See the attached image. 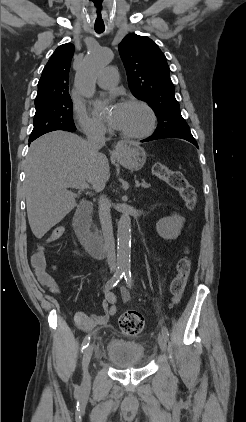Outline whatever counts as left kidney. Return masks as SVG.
<instances>
[{
    "label": "left kidney",
    "instance_id": "1",
    "mask_svg": "<svg viewBox=\"0 0 246 422\" xmlns=\"http://www.w3.org/2000/svg\"><path fill=\"white\" fill-rule=\"evenodd\" d=\"M185 219L177 214L161 218L156 223V230L160 237L166 240L176 239L183 227Z\"/></svg>",
    "mask_w": 246,
    "mask_h": 422
}]
</instances>
